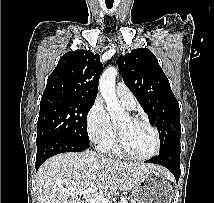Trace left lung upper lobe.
I'll return each mask as SVG.
<instances>
[{"mask_svg": "<svg viewBox=\"0 0 214 203\" xmlns=\"http://www.w3.org/2000/svg\"><path fill=\"white\" fill-rule=\"evenodd\" d=\"M118 68L124 83L147 113L149 122L158 129L159 153L179 146V104L155 55L147 48L134 49L119 57Z\"/></svg>", "mask_w": 214, "mask_h": 203, "instance_id": "left-lung-upper-lobe-1", "label": "left lung upper lobe"}]
</instances>
